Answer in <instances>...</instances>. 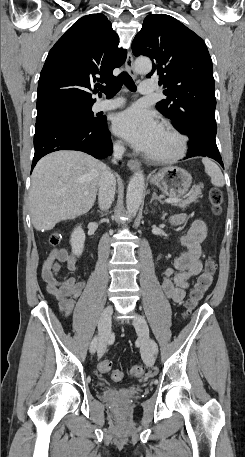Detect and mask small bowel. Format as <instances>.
I'll use <instances>...</instances> for the list:
<instances>
[{
	"label": "small bowel",
	"instance_id": "obj_1",
	"mask_svg": "<svg viewBox=\"0 0 245 457\" xmlns=\"http://www.w3.org/2000/svg\"><path fill=\"white\" fill-rule=\"evenodd\" d=\"M185 220V215L171 217V223L174 225L182 224ZM205 237L206 224L200 219L194 220L187 233L180 237V245L186 248V251L175 258L172 266L163 271L162 289L169 300L181 302L189 287V280L201 272V244ZM62 263H66L67 269L70 271L77 270L75 256L64 248H58L51 251L44 259L41 276L48 294L56 301L58 310L63 316L68 317L73 312L85 282L77 278L59 281L57 276ZM76 334L83 341L84 335L80 328L76 329Z\"/></svg>",
	"mask_w": 245,
	"mask_h": 457
}]
</instances>
